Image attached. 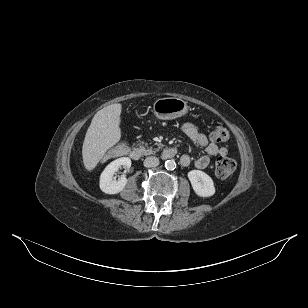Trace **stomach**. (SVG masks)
I'll list each match as a JSON object with an SVG mask.
<instances>
[{
    "label": "stomach",
    "instance_id": "1",
    "mask_svg": "<svg viewBox=\"0 0 308 308\" xmlns=\"http://www.w3.org/2000/svg\"><path fill=\"white\" fill-rule=\"evenodd\" d=\"M188 109L187 102L176 97L160 98L153 105L155 116L162 120L181 117L188 112Z\"/></svg>",
    "mask_w": 308,
    "mask_h": 308
}]
</instances>
